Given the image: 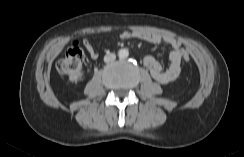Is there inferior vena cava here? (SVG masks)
Listing matches in <instances>:
<instances>
[{"label":"inferior vena cava","instance_id":"inferior-vena-cava-1","mask_svg":"<svg viewBox=\"0 0 244 157\" xmlns=\"http://www.w3.org/2000/svg\"><path fill=\"white\" fill-rule=\"evenodd\" d=\"M116 59V55L114 53H109L104 56V62H112Z\"/></svg>","mask_w":244,"mask_h":157}]
</instances>
